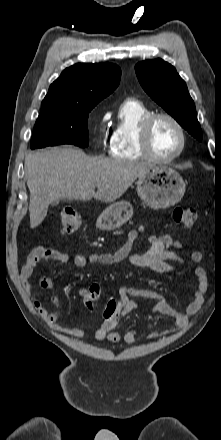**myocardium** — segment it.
Listing matches in <instances>:
<instances>
[{
  "mask_svg": "<svg viewBox=\"0 0 221 440\" xmlns=\"http://www.w3.org/2000/svg\"><path fill=\"white\" fill-rule=\"evenodd\" d=\"M167 119L177 128L180 135V146L178 150L169 157L157 156L151 146V130L158 119ZM139 143L145 157L157 163H170L177 159L185 150L187 144L186 132L183 125L173 115L166 112H155L146 116L139 126Z\"/></svg>",
  "mask_w": 221,
  "mask_h": 440,
  "instance_id": "1",
  "label": "myocardium"
}]
</instances>
